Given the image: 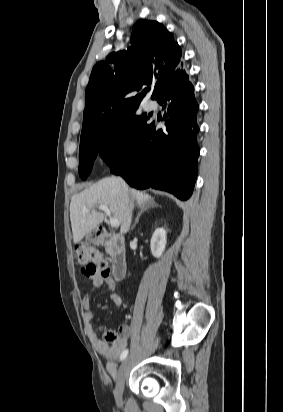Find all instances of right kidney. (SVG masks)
Listing matches in <instances>:
<instances>
[{"label": "right kidney", "mask_w": 283, "mask_h": 412, "mask_svg": "<svg viewBox=\"0 0 283 412\" xmlns=\"http://www.w3.org/2000/svg\"><path fill=\"white\" fill-rule=\"evenodd\" d=\"M166 247V231L164 228H157L151 238V252L154 257L159 258Z\"/></svg>", "instance_id": "right-kidney-1"}]
</instances>
